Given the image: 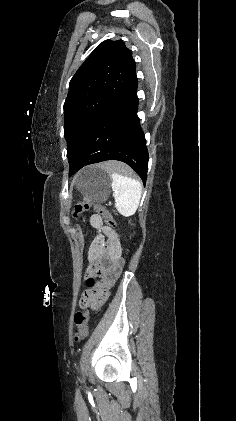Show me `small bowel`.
<instances>
[{"instance_id": "1", "label": "small bowel", "mask_w": 236, "mask_h": 421, "mask_svg": "<svg viewBox=\"0 0 236 421\" xmlns=\"http://www.w3.org/2000/svg\"><path fill=\"white\" fill-rule=\"evenodd\" d=\"M90 223L97 232V241L92 245V247L89 250L88 258L90 261L96 259L99 248H113L118 251L120 250V244L117 234L110 227L104 225L102 218L99 215L93 214L90 218ZM103 238H107V242H104Z\"/></svg>"}]
</instances>
